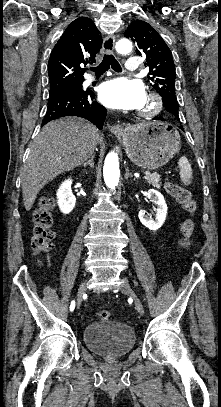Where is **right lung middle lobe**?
I'll use <instances>...</instances> for the list:
<instances>
[{"label":"right lung middle lobe","instance_id":"right-lung-middle-lobe-1","mask_svg":"<svg viewBox=\"0 0 221 407\" xmlns=\"http://www.w3.org/2000/svg\"><path fill=\"white\" fill-rule=\"evenodd\" d=\"M82 86V82L79 83H75V84H71V85H67V86H63V85H53L50 88V92L62 89V88H66V87H81Z\"/></svg>","mask_w":221,"mask_h":407}]
</instances>
